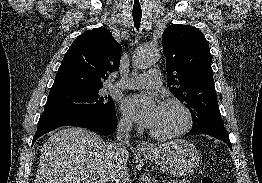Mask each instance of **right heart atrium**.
<instances>
[{
  "instance_id": "1",
  "label": "right heart atrium",
  "mask_w": 262,
  "mask_h": 183,
  "mask_svg": "<svg viewBox=\"0 0 262 183\" xmlns=\"http://www.w3.org/2000/svg\"><path fill=\"white\" fill-rule=\"evenodd\" d=\"M119 125L123 130H130L132 127V121L128 117H122Z\"/></svg>"
}]
</instances>
